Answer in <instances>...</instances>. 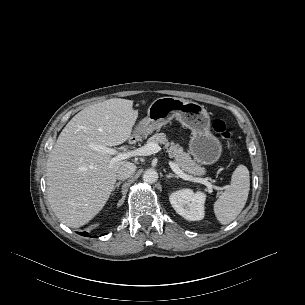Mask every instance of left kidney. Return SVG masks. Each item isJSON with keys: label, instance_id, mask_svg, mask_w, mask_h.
Returning <instances> with one entry per match:
<instances>
[{"label": "left kidney", "instance_id": "1", "mask_svg": "<svg viewBox=\"0 0 305 305\" xmlns=\"http://www.w3.org/2000/svg\"><path fill=\"white\" fill-rule=\"evenodd\" d=\"M174 210L189 221H199L204 218L206 195L200 191L194 193L191 189L174 192L169 197Z\"/></svg>", "mask_w": 305, "mask_h": 305}]
</instances>
